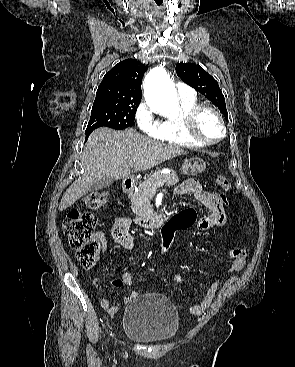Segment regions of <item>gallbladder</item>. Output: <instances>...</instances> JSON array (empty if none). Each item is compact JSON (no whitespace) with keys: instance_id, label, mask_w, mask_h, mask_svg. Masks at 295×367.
<instances>
[{"instance_id":"bac80fb5","label":"gallbladder","mask_w":295,"mask_h":367,"mask_svg":"<svg viewBox=\"0 0 295 367\" xmlns=\"http://www.w3.org/2000/svg\"><path fill=\"white\" fill-rule=\"evenodd\" d=\"M113 183V180L110 178H102L97 181L90 189V191H97L103 188L110 186Z\"/></svg>"}]
</instances>
